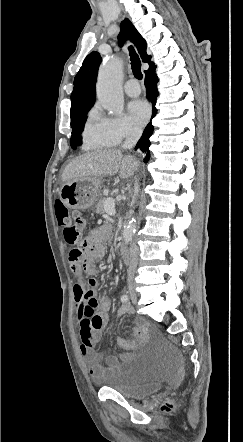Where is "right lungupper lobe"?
I'll use <instances>...</instances> for the list:
<instances>
[{"mask_svg": "<svg viewBox=\"0 0 243 442\" xmlns=\"http://www.w3.org/2000/svg\"><path fill=\"white\" fill-rule=\"evenodd\" d=\"M121 26L122 30L118 35L120 45L127 39H130L135 45L142 61L147 62L149 67L153 66L154 63L150 62L151 56H148L146 53V41L130 20L125 19ZM100 62L101 57L98 52L90 53L83 61L82 67L75 76L74 89L71 94V123L76 121L82 113L88 112L95 102V82Z\"/></svg>", "mask_w": 243, "mask_h": 442, "instance_id": "cb5924a9", "label": "right lung upper lobe"}]
</instances>
